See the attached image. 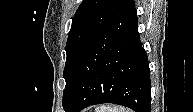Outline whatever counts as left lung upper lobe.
Masks as SVG:
<instances>
[{
    "mask_svg": "<svg viewBox=\"0 0 193 112\" xmlns=\"http://www.w3.org/2000/svg\"><path fill=\"white\" fill-rule=\"evenodd\" d=\"M131 1L83 0L73 17L66 44L67 60L63 72L66 86L79 60L91 43Z\"/></svg>",
    "mask_w": 193,
    "mask_h": 112,
    "instance_id": "5c2ea615",
    "label": "left lung upper lobe"
}]
</instances>
